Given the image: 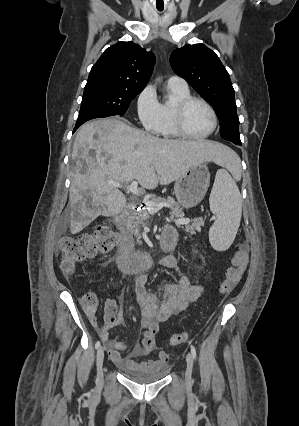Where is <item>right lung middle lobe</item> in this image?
<instances>
[{
	"instance_id": "dd1d6c3e",
	"label": "right lung middle lobe",
	"mask_w": 299,
	"mask_h": 426,
	"mask_svg": "<svg viewBox=\"0 0 299 426\" xmlns=\"http://www.w3.org/2000/svg\"><path fill=\"white\" fill-rule=\"evenodd\" d=\"M142 90H127L104 84L86 85L79 116L89 112L124 115L130 102Z\"/></svg>"
}]
</instances>
